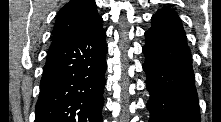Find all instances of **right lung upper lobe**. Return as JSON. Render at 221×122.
Instances as JSON below:
<instances>
[{"instance_id":"right-lung-upper-lobe-1","label":"right lung upper lobe","mask_w":221,"mask_h":122,"mask_svg":"<svg viewBox=\"0 0 221 122\" xmlns=\"http://www.w3.org/2000/svg\"><path fill=\"white\" fill-rule=\"evenodd\" d=\"M102 23L94 0H71L58 13L50 49Z\"/></svg>"}]
</instances>
